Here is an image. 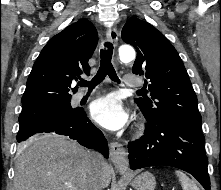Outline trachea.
Wrapping results in <instances>:
<instances>
[{
	"label": "trachea",
	"instance_id": "trachea-1",
	"mask_svg": "<svg viewBox=\"0 0 221 190\" xmlns=\"http://www.w3.org/2000/svg\"><path fill=\"white\" fill-rule=\"evenodd\" d=\"M104 46L105 48L101 49L100 51L101 63L97 74L90 82L82 80L78 83V85L92 89L100 84L107 75L112 81L120 83V80L112 64L113 45L110 42H105Z\"/></svg>",
	"mask_w": 221,
	"mask_h": 190
}]
</instances>
